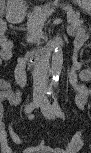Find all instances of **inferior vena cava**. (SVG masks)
<instances>
[{
	"mask_svg": "<svg viewBox=\"0 0 91 153\" xmlns=\"http://www.w3.org/2000/svg\"><path fill=\"white\" fill-rule=\"evenodd\" d=\"M41 59V58H37ZM45 59V58H42ZM48 60H33V79H34V91L38 93L39 97H42L40 90L47 81V72L49 70Z\"/></svg>",
	"mask_w": 91,
	"mask_h": 153,
	"instance_id": "602c4592",
	"label": "inferior vena cava"
}]
</instances>
